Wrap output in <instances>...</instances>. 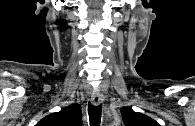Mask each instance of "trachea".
<instances>
[{
  "mask_svg": "<svg viewBox=\"0 0 195 126\" xmlns=\"http://www.w3.org/2000/svg\"><path fill=\"white\" fill-rule=\"evenodd\" d=\"M102 105L88 104V114L90 119V126H99L101 121Z\"/></svg>",
  "mask_w": 195,
  "mask_h": 126,
  "instance_id": "3493384b",
  "label": "trachea"
}]
</instances>
